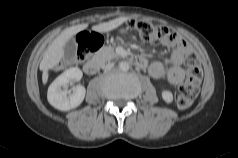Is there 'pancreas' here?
I'll use <instances>...</instances> for the list:
<instances>
[{"mask_svg":"<svg viewBox=\"0 0 238 158\" xmlns=\"http://www.w3.org/2000/svg\"><path fill=\"white\" fill-rule=\"evenodd\" d=\"M117 56L118 55L114 52V49L111 46L102 47L94 55V57L100 61H108Z\"/></svg>","mask_w":238,"mask_h":158,"instance_id":"cf45deb5","label":"pancreas"}]
</instances>
